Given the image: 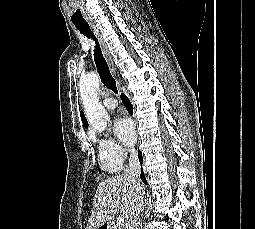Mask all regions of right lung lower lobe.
Returning a JSON list of instances; mask_svg holds the SVG:
<instances>
[{
  "instance_id": "98d812e1",
  "label": "right lung lower lobe",
  "mask_w": 255,
  "mask_h": 229,
  "mask_svg": "<svg viewBox=\"0 0 255 229\" xmlns=\"http://www.w3.org/2000/svg\"><path fill=\"white\" fill-rule=\"evenodd\" d=\"M121 99H122L123 104L125 105L126 109L128 110V112H129V113H132V105H131L130 101L128 100V98H127L124 94H121ZM138 157H139V160H140V162H141V164H142V154H141V152L138 153ZM140 178H141V180H142L145 184H147L143 172L141 173Z\"/></svg>"
}]
</instances>
